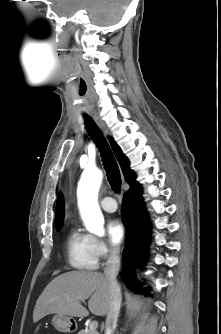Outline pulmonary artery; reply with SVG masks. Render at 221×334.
<instances>
[{
	"instance_id": "e3ab8cb5",
	"label": "pulmonary artery",
	"mask_w": 221,
	"mask_h": 334,
	"mask_svg": "<svg viewBox=\"0 0 221 334\" xmlns=\"http://www.w3.org/2000/svg\"><path fill=\"white\" fill-rule=\"evenodd\" d=\"M100 205L102 209L106 212H114L117 210V203L115 199L111 196L104 197L101 200Z\"/></svg>"
}]
</instances>
